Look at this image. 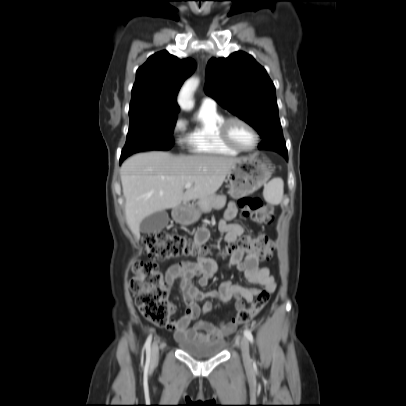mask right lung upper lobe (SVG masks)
<instances>
[{
	"label": "right lung upper lobe",
	"mask_w": 406,
	"mask_h": 406,
	"mask_svg": "<svg viewBox=\"0 0 406 406\" xmlns=\"http://www.w3.org/2000/svg\"><path fill=\"white\" fill-rule=\"evenodd\" d=\"M195 67L193 59L180 60L165 50L150 56L136 72L129 113L177 115L176 96Z\"/></svg>",
	"instance_id": "cb5924a9"
}]
</instances>
